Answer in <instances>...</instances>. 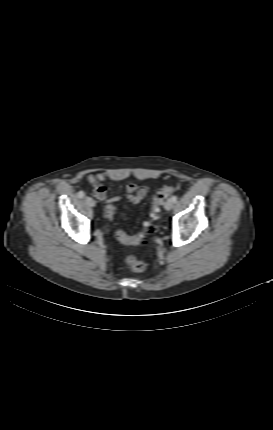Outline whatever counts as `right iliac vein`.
<instances>
[{"label": "right iliac vein", "mask_w": 273, "mask_h": 430, "mask_svg": "<svg viewBox=\"0 0 273 430\" xmlns=\"http://www.w3.org/2000/svg\"><path fill=\"white\" fill-rule=\"evenodd\" d=\"M86 204L90 207H94L96 205V202L91 197L85 198Z\"/></svg>", "instance_id": "obj_1"}]
</instances>
